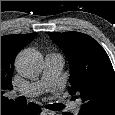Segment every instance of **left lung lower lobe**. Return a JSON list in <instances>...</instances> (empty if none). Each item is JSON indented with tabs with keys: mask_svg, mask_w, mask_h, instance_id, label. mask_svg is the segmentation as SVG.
I'll list each match as a JSON object with an SVG mask.
<instances>
[{
	"mask_svg": "<svg viewBox=\"0 0 115 115\" xmlns=\"http://www.w3.org/2000/svg\"><path fill=\"white\" fill-rule=\"evenodd\" d=\"M63 115H73V114L70 112H63ZM78 115H81V114L78 113Z\"/></svg>",
	"mask_w": 115,
	"mask_h": 115,
	"instance_id": "obj_1",
	"label": "left lung lower lobe"
}]
</instances>
